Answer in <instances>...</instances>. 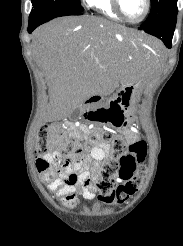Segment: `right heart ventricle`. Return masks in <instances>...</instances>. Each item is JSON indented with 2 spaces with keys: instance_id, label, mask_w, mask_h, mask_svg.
<instances>
[{
  "instance_id": "e07e8e85",
  "label": "right heart ventricle",
  "mask_w": 183,
  "mask_h": 246,
  "mask_svg": "<svg viewBox=\"0 0 183 246\" xmlns=\"http://www.w3.org/2000/svg\"><path fill=\"white\" fill-rule=\"evenodd\" d=\"M88 4L95 11L108 18L122 20L119 14L115 11L112 0H89Z\"/></svg>"
}]
</instances>
